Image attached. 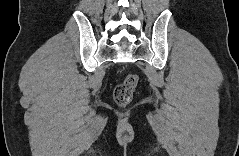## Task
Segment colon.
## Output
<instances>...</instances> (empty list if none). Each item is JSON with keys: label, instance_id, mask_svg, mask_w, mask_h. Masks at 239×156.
<instances>
[{"label": "colon", "instance_id": "obj_1", "mask_svg": "<svg viewBox=\"0 0 239 156\" xmlns=\"http://www.w3.org/2000/svg\"><path fill=\"white\" fill-rule=\"evenodd\" d=\"M138 83L136 74H129L114 90V100L119 106L127 105L133 96Z\"/></svg>", "mask_w": 239, "mask_h": 156}]
</instances>
